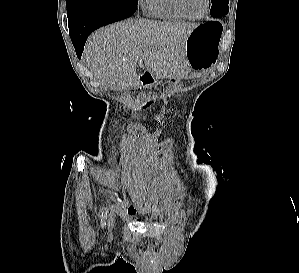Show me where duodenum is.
I'll return each instance as SVG.
<instances>
[{
  "mask_svg": "<svg viewBox=\"0 0 299 273\" xmlns=\"http://www.w3.org/2000/svg\"><path fill=\"white\" fill-rule=\"evenodd\" d=\"M140 79L144 85H149L152 82L153 76L150 72L146 71L141 74Z\"/></svg>",
  "mask_w": 299,
  "mask_h": 273,
  "instance_id": "1",
  "label": "duodenum"
}]
</instances>
